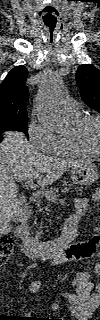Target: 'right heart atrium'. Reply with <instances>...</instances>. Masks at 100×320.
<instances>
[{
  "label": "right heart atrium",
  "mask_w": 100,
  "mask_h": 320,
  "mask_svg": "<svg viewBox=\"0 0 100 320\" xmlns=\"http://www.w3.org/2000/svg\"><path fill=\"white\" fill-rule=\"evenodd\" d=\"M27 133L31 144L39 151L51 153L56 135L44 124L36 119H32L28 125Z\"/></svg>",
  "instance_id": "d8ad5b80"
}]
</instances>
